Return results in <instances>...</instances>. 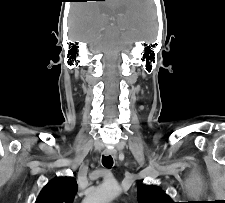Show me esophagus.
I'll use <instances>...</instances> for the list:
<instances>
[{
  "mask_svg": "<svg viewBox=\"0 0 225 203\" xmlns=\"http://www.w3.org/2000/svg\"><path fill=\"white\" fill-rule=\"evenodd\" d=\"M103 154L105 155V156H112V157H114V158H116V156H117V152L115 151V150H113V149H105L104 151H103Z\"/></svg>",
  "mask_w": 225,
  "mask_h": 203,
  "instance_id": "34e87169",
  "label": "esophagus"
}]
</instances>
